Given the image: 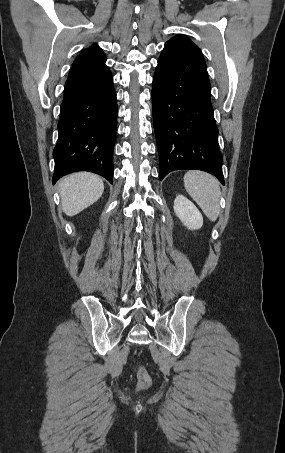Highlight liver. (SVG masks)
Wrapping results in <instances>:
<instances>
[{
	"instance_id": "1",
	"label": "liver",
	"mask_w": 285,
	"mask_h": 453,
	"mask_svg": "<svg viewBox=\"0 0 285 453\" xmlns=\"http://www.w3.org/2000/svg\"><path fill=\"white\" fill-rule=\"evenodd\" d=\"M102 178L89 172L73 173L59 183L63 212L74 216L94 204L103 194Z\"/></svg>"
}]
</instances>
